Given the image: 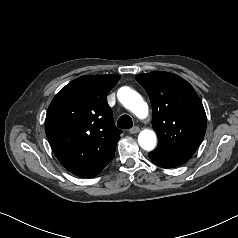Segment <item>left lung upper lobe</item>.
<instances>
[{
  "instance_id": "5c2ea615",
  "label": "left lung upper lobe",
  "mask_w": 238,
  "mask_h": 238,
  "mask_svg": "<svg viewBox=\"0 0 238 238\" xmlns=\"http://www.w3.org/2000/svg\"><path fill=\"white\" fill-rule=\"evenodd\" d=\"M136 80L149 95L158 146L192 156L206 131V114L196 91L169 72L139 74Z\"/></svg>"
}]
</instances>
